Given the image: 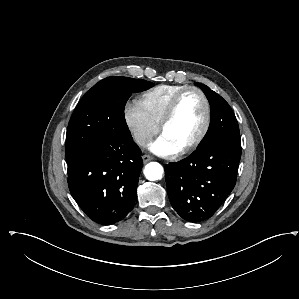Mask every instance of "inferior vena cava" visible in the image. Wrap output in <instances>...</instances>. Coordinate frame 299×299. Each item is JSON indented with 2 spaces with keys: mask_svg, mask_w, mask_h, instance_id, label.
I'll return each instance as SVG.
<instances>
[{
  "mask_svg": "<svg viewBox=\"0 0 299 299\" xmlns=\"http://www.w3.org/2000/svg\"><path fill=\"white\" fill-rule=\"evenodd\" d=\"M135 140L139 145H145L150 142L151 138L146 134H137L135 135Z\"/></svg>",
  "mask_w": 299,
  "mask_h": 299,
  "instance_id": "obj_1",
  "label": "inferior vena cava"
}]
</instances>
